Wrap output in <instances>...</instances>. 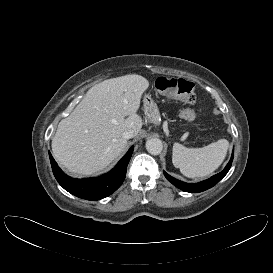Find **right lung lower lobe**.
Returning a JSON list of instances; mask_svg holds the SVG:
<instances>
[{"instance_id":"right-lung-lower-lobe-1","label":"right lung lower lobe","mask_w":273,"mask_h":273,"mask_svg":"<svg viewBox=\"0 0 273 273\" xmlns=\"http://www.w3.org/2000/svg\"><path fill=\"white\" fill-rule=\"evenodd\" d=\"M134 147L132 146L117 166L107 174L87 179H74L62 172L49 152L53 174L69 193L87 200H100L112 194L123 183Z\"/></svg>"}]
</instances>
